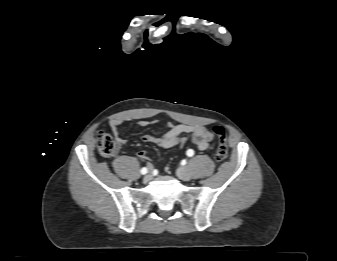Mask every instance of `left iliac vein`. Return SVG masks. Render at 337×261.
Segmentation results:
<instances>
[{
	"label": "left iliac vein",
	"instance_id": "left-iliac-vein-1",
	"mask_svg": "<svg viewBox=\"0 0 337 261\" xmlns=\"http://www.w3.org/2000/svg\"><path fill=\"white\" fill-rule=\"evenodd\" d=\"M177 175L180 179L184 181H189L191 179V173L187 167L179 168L177 171Z\"/></svg>",
	"mask_w": 337,
	"mask_h": 261
}]
</instances>
